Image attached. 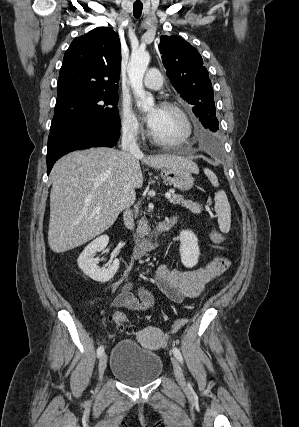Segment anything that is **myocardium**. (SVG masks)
I'll return each instance as SVG.
<instances>
[{"instance_id": "myocardium-1", "label": "myocardium", "mask_w": 299, "mask_h": 427, "mask_svg": "<svg viewBox=\"0 0 299 427\" xmlns=\"http://www.w3.org/2000/svg\"><path fill=\"white\" fill-rule=\"evenodd\" d=\"M160 107L167 108V109L175 111L180 116V118L182 119L185 130H184L183 135L180 136L179 138L162 139V138H159L158 136H156L153 133L152 129H150L149 134H150L151 140L157 145L166 146V147L178 146V145H181V144H184L185 142H187L192 135L193 126H192L191 119H190L188 113L185 111V109L182 106H180L178 103L173 102V101H163L161 103Z\"/></svg>"}]
</instances>
